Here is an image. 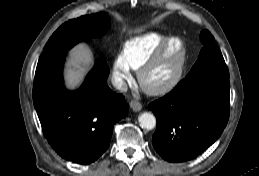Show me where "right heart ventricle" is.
I'll return each mask as SVG.
<instances>
[{
	"mask_svg": "<svg viewBox=\"0 0 259 176\" xmlns=\"http://www.w3.org/2000/svg\"><path fill=\"white\" fill-rule=\"evenodd\" d=\"M168 36L157 31H149L127 40L121 56L129 69L139 68L152 56Z\"/></svg>",
	"mask_w": 259,
	"mask_h": 176,
	"instance_id": "e07e8e85",
	"label": "right heart ventricle"
}]
</instances>
